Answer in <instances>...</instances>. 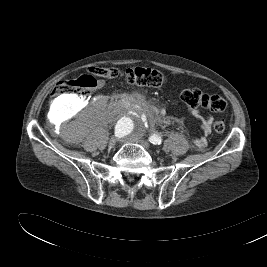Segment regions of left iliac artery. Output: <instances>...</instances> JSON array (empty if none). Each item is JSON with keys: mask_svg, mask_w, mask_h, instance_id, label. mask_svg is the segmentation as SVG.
<instances>
[{"mask_svg": "<svg viewBox=\"0 0 267 267\" xmlns=\"http://www.w3.org/2000/svg\"><path fill=\"white\" fill-rule=\"evenodd\" d=\"M149 141L154 145H160L163 139L160 136L154 134L149 137Z\"/></svg>", "mask_w": 267, "mask_h": 267, "instance_id": "obj_1", "label": "left iliac artery"}]
</instances>
